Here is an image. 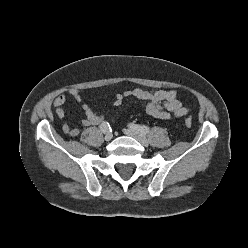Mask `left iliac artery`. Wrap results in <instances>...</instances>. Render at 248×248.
Wrapping results in <instances>:
<instances>
[{
    "mask_svg": "<svg viewBox=\"0 0 248 248\" xmlns=\"http://www.w3.org/2000/svg\"><path fill=\"white\" fill-rule=\"evenodd\" d=\"M130 127L134 131H136V132H138V133H140L142 135H146L149 132V130H150V128L148 126H145V125L131 124Z\"/></svg>",
    "mask_w": 248,
    "mask_h": 248,
    "instance_id": "44dca946",
    "label": "left iliac artery"
}]
</instances>
